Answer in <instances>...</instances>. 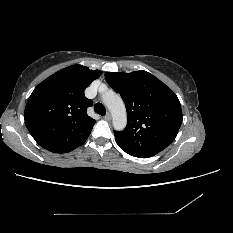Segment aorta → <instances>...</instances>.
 I'll list each match as a JSON object with an SVG mask.
<instances>
[{
	"mask_svg": "<svg viewBox=\"0 0 233 233\" xmlns=\"http://www.w3.org/2000/svg\"><path fill=\"white\" fill-rule=\"evenodd\" d=\"M103 102L112 114L114 128L119 131L123 130L127 124V113L120 95L115 92L104 94Z\"/></svg>",
	"mask_w": 233,
	"mask_h": 233,
	"instance_id": "762f6f07",
	"label": "aorta"
}]
</instances>
